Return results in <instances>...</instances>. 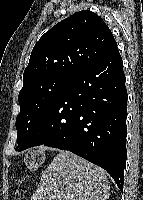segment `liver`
<instances>
[{"label": "liver", "instance_id": "6515ba94", "mask_svg": "<svg viewBox=\"0 0 143 200\" xmlns=\"http://www.w3.org/2000/svg\"><path fill=\"white\" fill-rule=\"evenodd\" d=\"M105 171L69 151H60L44 170L31 200H107Z\"/></svg>", "mask_w": 143, "mask_h": 200}]
</instances>
